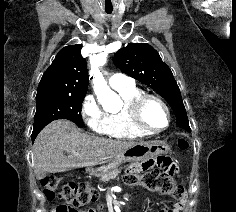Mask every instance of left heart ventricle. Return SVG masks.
<instances>
[{
  "label": "left heart ventricle",
  "instance_id": "left-heart-ventricle-1",
  "mask_svg": "<svg viewBox=\"0 0 236 212\" xmlns=\"http://www.w3.org/2000/svg\"><path fill=\"white\" fill-rule=\"evenodd\" d=\"M144 120L153 128H163L167 124V115L160 104L149 101L144 109Z\"/></svg>",
  "mask_w": 236,
  "mask_h": 212
}]
</instances>
